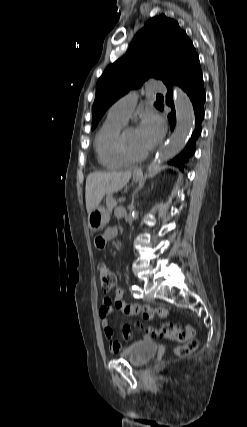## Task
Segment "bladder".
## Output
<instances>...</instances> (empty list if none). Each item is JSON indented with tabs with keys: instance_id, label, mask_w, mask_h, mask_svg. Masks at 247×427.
Listing matches in <instances>:
<instances>
[{
	"instance_id": "bladder-1",
	"label": "bladder",
	"mask_w": 247,
	"mask_h": 427,
	"mask_svg": "<svg viewBox=\"0 0 247 427\" xmlns=\"http://www.w3.org/2000/svg\"><path fill=\"white\" fill-rule=\"evenodd\" d=\"M157 345L153 342H136L119 353L133 366H143L156 354Z\"/></svg>"
}]
</instances>
